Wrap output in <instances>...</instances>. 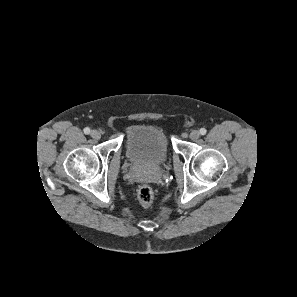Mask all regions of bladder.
Listing matches in <instances>:
<instances>
[{"label":"bladder","mask_w":297,"mask_h":297,"mask_svg":"<svg viewBox=\"0 0 297 297\" xmlns=\"http://www.w3.org/2000/svg\"><path fill=\"white\" fill-rule=\"evenodd\" d=\"M124 151L131 165L155 169L168 160L166 138L160 128L150 124H133L125 131Z\"/></svg>","instance_id":"bladder-1"}]
</instances>
